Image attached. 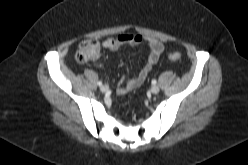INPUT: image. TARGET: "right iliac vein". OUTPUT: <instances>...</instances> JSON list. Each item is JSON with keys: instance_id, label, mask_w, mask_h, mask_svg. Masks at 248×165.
<instances>
[{"instance_id": "obj_1", "label": "right iliac vein", "mask_w": 248, "mask_h": 165, "mask_svg": "<svg viewBox=\"0 0 248 165\" xmlns=\"http://www.w3.org/2000/svg\"><path fill=\"white\" fill-rule=\"evenodd\" d=\"M108 89H109V88H108V86H106V85H102V86L100 87V91H101V92H104V93L107 92Z\"/></svg>"}]
</instances>
